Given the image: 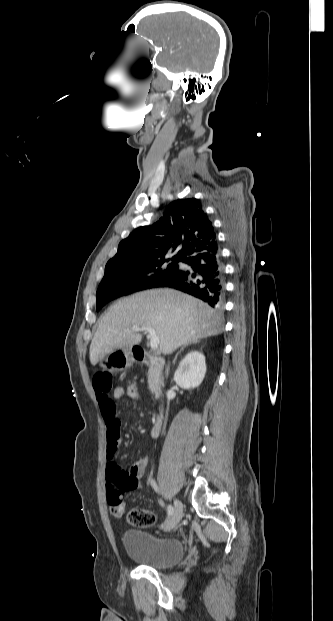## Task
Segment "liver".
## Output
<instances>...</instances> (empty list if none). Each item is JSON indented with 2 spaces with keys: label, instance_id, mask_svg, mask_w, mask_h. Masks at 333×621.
<instances>
[{
  "label": "liver",
  "instance_id": "liver-1",
  "mask_svg": "<svg viewBox=\"0 0 333 621\" xmlns=\"http://www.w3.org/2000/svg\"><path fill=\"white\" fill-rule=\"evenodd\" d=\"M134 326L153 328L163 354L223 331L221 314L204 302L171 289L147 290L119 300L101 318L90 344L91 364L139 344L142 335Z\"/></svg>",
  "mask_w": 333,
  "mask_h": 621
}]
</instances>
